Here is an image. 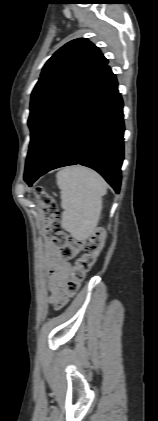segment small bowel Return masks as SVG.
<instances>
[{"label":"small bowel","mask_w":158,"mask_h":421,"mask_svg":"<svg viewBox=\"0 0 158 421\" xmlns=\"http://www.w3.org/2000/svg\"><path fill=\"white\" fill-rule=\"evenodd\" d=\"M72 265L61 259L57 247L52 243L47 245L46 269L49 279L50 302L58 304L64 299L65 285L70 276Z\"/></svg>","instance_id":"obj_1"}]
</instances>
